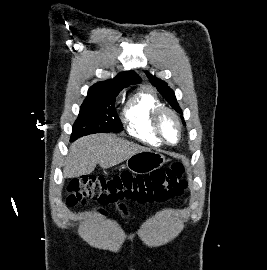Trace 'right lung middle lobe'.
<instances>
[{
  "label": "right lung middle lobe",
  "mask_w": 267,
  "mask_h": 270,
  "mask_svg": "<svg viewBox=\"0 0 267 270\" xmlns=\"http://www.w3.org/2000/svg\"><path fill=\"white\" fill-rule=\"evenodd\" d=\"M119 92L114 90L88 91L79 116L73 125L71 141L88 134L123 130L114 106Z\"/></svg>",
  "instance_id": "1"
}]
</instances>
